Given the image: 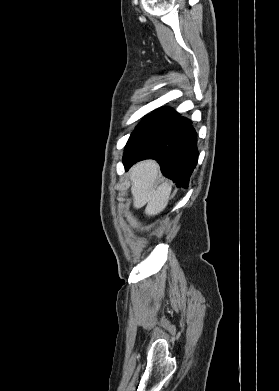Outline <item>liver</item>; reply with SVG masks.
<instances>
[{
  "label": "liver",
  "mask_w": 279,
  "mask_h": 391,
  "mask_svg": "<svg viewBox=\"0 0 279 391\" xmlns=\"http://www.w3.org/2000/svg\"><path fill=\"white\" fill-rule=\"evenodd\" d=\"M159 174V165L153 160L141 161L130 170L134 207L139 209L146 205L148 216L157 215L166 208L172 190L168 182L157 185Z\"/></svg>",
  "instance_id": "liver-1"
}]
</instances>
